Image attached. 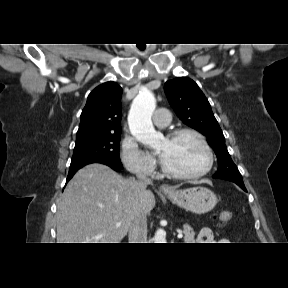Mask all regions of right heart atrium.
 <instances>
[{
    "label": "right heart atrium",
    "instance_id": "d8ad5b80",
    "mask_svg": "<svg viewBox=\"0 0 288 288\" xmlns=\"http://www.w3.org/2000/svg\"><path fill=\"white\" fill-rule=\"evenodd\" d=\"M121 157L125 167L134 174L147 176L154 172L155 160L131 137L123 139Z\"/></svg>",
    "mask_w": 288,
    "mask_h": 288
}]
</instances>
